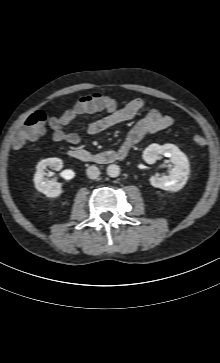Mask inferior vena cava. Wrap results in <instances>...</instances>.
Here are the masks:
<instances>
[{
  "label": "inferior vena cava",
  "instance_id": "inferior-vena-cava-1",
  "mask_svg": "<svg viewBox=\"0 0 220 363\" xmlns=\"http://www.w3.org/2000/svg\"><path fill=\"white\" fill-rule=\"evenodd\" d=\"M86 173L87 176L91 179H96L100 175V171L95 165L89 166Z\"/></svg>",
  "mask_w": 220,
  "mask_h": 363
}]
</instances>
